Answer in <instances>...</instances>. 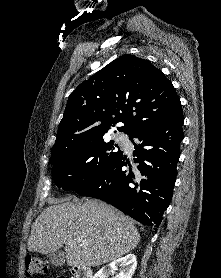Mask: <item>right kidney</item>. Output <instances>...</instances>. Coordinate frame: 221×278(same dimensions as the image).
<instances>
[{"label": "right kidney", "instance_id": "obj_1", "mask_svg": "<svg viewBox=\"0 0 221 278\" xmlns=\"http://www.w3.org/2000/svg\"><path fill=\"white\" fill-rule=\"evenodd\" d=\"M136 266V256L134 254H128L102 267L93 278H108L111 274H114L115 271H119L116 275L117 278H132Z\"/></svg>", "mask_w": 221, "mask_h": 278}]
</instances>
